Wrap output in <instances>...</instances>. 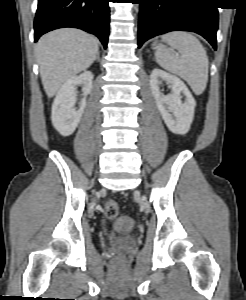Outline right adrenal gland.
Segmentation results:
<instances>
[{
	"mask_svg": "<svg viewBox=\"0 0 246 300\" xmlns=\"http://www.w3.org/2000/svg\"><path fill=\"white\" fill-rule=\"evenodd\" d=\"M96 59H97L98 61H100L99 53H98Z\"/></svg>",
	"mask_w": 246,
	"mask_h": 300,
	"instance_id": "right-adrenal-gland-1",
	"label": "right adrenal gland"
}]
</instances>
